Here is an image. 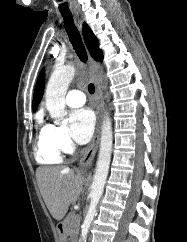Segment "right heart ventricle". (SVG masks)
Here are the masks:
<instances>
[{"mask_svg": "<svg viewBox=\"0 0 187 242\" xmlns=\"http://www.w3.org/2000/svg\"><path fill=\"white\" fill-rule=\"evenodd\" d=\"M38 133L35 143V157L40 164H57L61 162L60 151L50 139V124H47L42 115L37 118Z\"/></svg>", "mask_w": 187, "mask_h": 242, "instance_id": "e07e8e85", "label": "right heart ventricle"}]
</instances>
